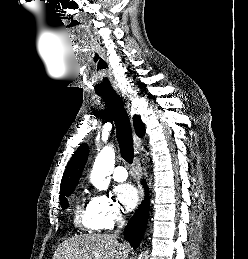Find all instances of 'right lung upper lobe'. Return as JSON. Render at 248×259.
I'll use <instances>...</instances> for the list:
<instances>
[{"label":"right lung upper lobe","instance_id":"obj_1","mask_svg":"<svg viewBox=\"0 0 248 259\" xmlns=\"http://www.w3.org/2000/svg\"><path fill=\"white\" fill-rule=\"evenodd\" d=\"M133 124L136 134L139 137H143L145 133V127L139 116H134ZM88 153V146L86 144H82L73 154L63 175L60 193L63 191L74 189L76 187L82 170L86 164Z\"/></svg>","mask_w":248,"mask_h":259}]
</instances>
